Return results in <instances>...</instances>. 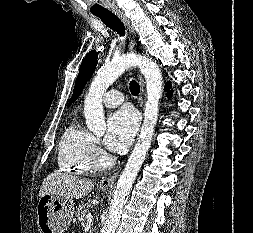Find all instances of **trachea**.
I'll return each instance as SVG.
<instances>
[{
    "label": "trachea",
    "mask_w": 253,
    "mask_h": 233,
    "mask_svg": "<svg viewBox=\"0 0 253 233\" xmlns=\"http://www.w3.org/2000/svg\"><path fill=\"white\" fill-rule=\"evenodd\" d=\"M97 17L101 19V21L110 29L113 31L117 32L120 36L125 35V27L124 24L121 22V20L115 16L113 13L107 11V12H102V13H97L95 14ZM130 91L133 95H138L140 92V87L139 84L135 81L132 80L130 82Z\"/></svg>",
    "instance_id": "obj_1"
}]
</instances>
